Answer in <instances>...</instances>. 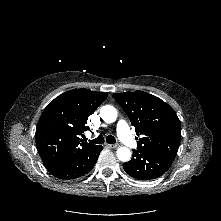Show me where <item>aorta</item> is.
I'll list each match as a JSON object with an SVG mask.
<instances>
[{
	"instance_id": "762f6f07",
	"label": "aorta",
	"mask_w": 221,
	"mask_h": 221,
	"mask_svg": "<svg viewBox=\"0 0 221 221\" xmlns=\"http://www.w3.org/2000/svg\"><path fill=\"white\" fill-rule=\"evenodd\" d=\"M100 117L106 123H113L117 119V110L111 105H105L100 109ZM117 157L123 162H127L131 158V151L127 147H120L117 150Z\"/></svg>"
}]
</instances>
